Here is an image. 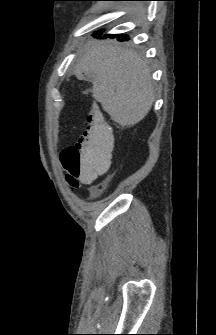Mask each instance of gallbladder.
Returning <instances> with one entry per match:
<instances>
[{
    "instance_id": "1",
    "label": "gallbladder",
    "mask_w": 216,
    "mask_h": 335,
    "mask_svg": "<svg viewBox=\"0 0 216 335\" xmlns=\"http://www.w3.org/2000/svg\"><path fill=\"white\" fill-rule=\"evenodd\" d=\"M90 79H91V77H90V76H88V77H87V80H90Z\"/></svg>"
}]
</instances>
